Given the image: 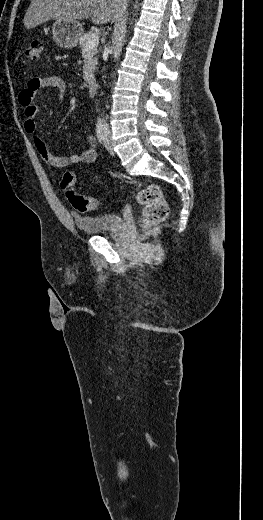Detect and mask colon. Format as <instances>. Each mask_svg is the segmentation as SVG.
I'll use <instances>...</instances> for the list:
<instances>
[{
	"label": "colon",
	"mask_w": 263,
	"mask_h": 520,
	"mask_svg": "<svg viewBox=\"0 0 263 520\" xmlns=\"http://www.w3.org/2000/svg\"><path fill=\"white\" fill-rule=\"evenodd\" d=\"M25 56L32 61H39L42 53V42L33 40L24 51ZM76 176L73 172H65L61 179V188L66 191L71 206L81 212H89L100 206L96 198L78 193L75 189ZM137 202L143 206L141 219L144 226H150L164 221L168 216V205L160 188L155 183H146L136 192Z\"/></svg>",
	"instance_id": "obj_1"
}]
</instances>
